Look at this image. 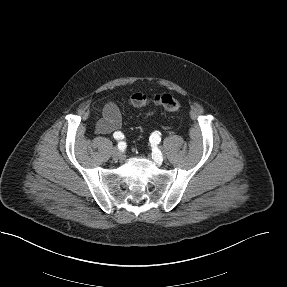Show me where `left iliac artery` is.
<instances>
[{
  "label": "left iliac artery",
  "instance_id": "44dca946",
  "mask_svg": "<svg viewBox=\"0 0 287 287\" xmlns=\"http://www.w3.org/2000/svg\"><path fill=\"white\" fill-rule=\"evenodd\" d=\"M160 141H161L160 133L158 131L153 132L150 136L151 144L156 145L159 144Z\"/></svg>",
  "mask_w": 287,
  "mask_h": 287
}]
</instances>
